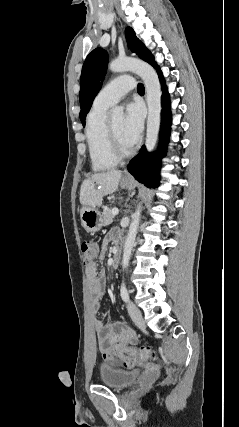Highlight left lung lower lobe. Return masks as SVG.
Here are the masks:
<instances>
[{"mask_svg":"<svg viewBox=\"0 0 239 427\" xmlns=\"http://www.w3.org/2000/svg\"><path fill=\"white\" fill-rule=\"evenodd\" d=\"M155 68L162 83L163 92V109L160 135L161 145L155 155L148 153L145 147L143 146L140 153L135 158H133L128 165V171L134 176V178L149 188H154L158 186L161 165L160 159L165 155V147L169 140L171 125L169 94L167 92V87L165 85V80L163 78L162 72L160 71L158 66H156Z\"/></svg>","mask_w":239,"mask_h":427,"instance_id":"obj_1","label":"left lung lower lobe"}]
</instances>
